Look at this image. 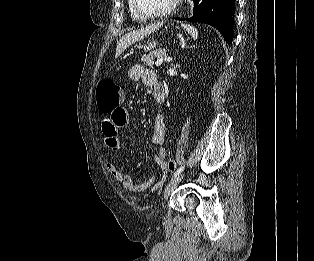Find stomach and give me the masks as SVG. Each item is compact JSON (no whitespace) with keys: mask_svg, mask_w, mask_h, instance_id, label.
I'll use <instances>...</instances> for the list:
<instances>
[{"mask_svg":"<svg viewBox=\"0 0 314 261\" xmlns=\"http://www.w3.org/2000/svg\"><path fill=\"white\" fill-rule=\"evenodd\" d=\"M157 45H158L157 41H149L147 44L142 46V48L144 49V51H149L155 48Z\"/></svg>","mask_w":314,"mask_h":261,"instance_id":"stomach-1","label":"stomach"}]
</instances>
